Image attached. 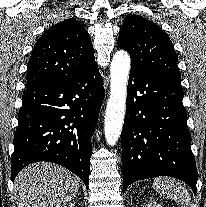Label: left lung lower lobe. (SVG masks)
Here are the masks:
<instances>
[{"label": "left lung lower lobe", "instance_id": "0a47b994", "mask_svg": "<svg viewBox=\"0 0 206 207\" xmlns=\"http://www.w3.org/2000/svg\"><path fill=\"white\" fill-rule=\"evenodd\" d=\"M181 82L132 68L121 133L123 192L135 181L172 176L196 194L197 171Z\"/></svg>", "mask_w": 206, "mask_h": 207}]
</instances>
